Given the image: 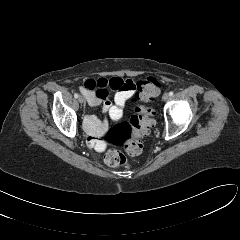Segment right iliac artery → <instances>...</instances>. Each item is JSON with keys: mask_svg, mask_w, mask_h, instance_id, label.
<instances>
[{"mask_svg": "<svg viewBox=\"0 0 240 240\" xmlns=\"http://www.w3.org/2000/svg\"><path fill=\"white\" fill-rule=\"evenodd\" d=\"M74 97H75V98H78V97H79L78 93H75V94H74Z\"/></svg>", "mask_w": 240, "mask_h": 240, "instance_id": "1", "label": "right iliac artery"}]
</instances>
